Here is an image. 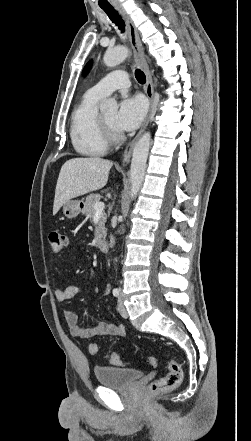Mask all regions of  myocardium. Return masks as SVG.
Masks as SVG:
<instances>
[{"instance_id":"obj_1","label":"myocardium","mask_w":251,"mask_h":441,"mask_svg":"<svg viewBox=\"0 0 251 441\" xmlns=\"http://www.w3.org/2000/svg\"><path fill=\"white\" fill-rule=\"evenodd\" d=\"M99 123L101 127L102 134L105 138V140L108 143H116L122 140V135L118 132L112 129L104 120L103 116H99Z\"/></svg>"}]
</instances>
